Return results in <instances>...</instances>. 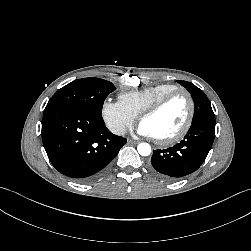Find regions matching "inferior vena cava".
<instances>
[{
	"instance_id": "602c4592",
	"label": "inferior vena cava",
	"mask_w": 251,
	"mask_h": 251,
	"mask_svg": "<svg viewBox=\"0 0 251 251\" xmlns=\"http://www.w3.org/2000/svg\"><path fill=\"white\" fill-rule=\"evenodd\" d=\"M112 133L123 136L127 133V130L124 126H118L112 129Z\"/></svg>"
}]
</instances>
